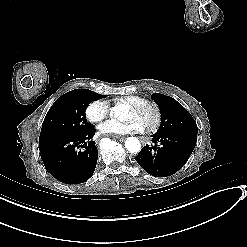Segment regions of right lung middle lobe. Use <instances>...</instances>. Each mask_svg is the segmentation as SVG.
<instances>
[{"mask_svg":"<svg viewBox=\"0 0 247 247\" xmlns=\"http://www.w3.org/2000/svg\"><path fill=\"white\" fill-rule=\"evenodd\" d=\"M105 96L88 89H75L59 97L43 121L39 141L88 131L93 126L86 120V108L91 102Z\"/></svg>","mask_w":247,"mask_h":247,"instance_id":"right-lung-middle-lobe-1","label":"right lung middle lobe"}]
</instances>
